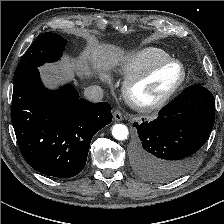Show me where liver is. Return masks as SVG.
<instances>
[{
  "mask_svg": "<svg viewBox=\"0 0 224 224\" xmlns=\"http://www.w3.org/2000/svg\"><path fill=\"white\" fill-rule=\"evenodd\" d=\"M124 51L112 44L93 43L83 52L77 63L65 56L62 62L45 64L40 68L42 78L51 87L78 73L89 76L97 72H107L124 59Z\"/></svg>",
  "mask_w": 224,
  "mask_h": 224,
  "instance_id": "obj_1",
  "label": "liver"
}]
</instances>
